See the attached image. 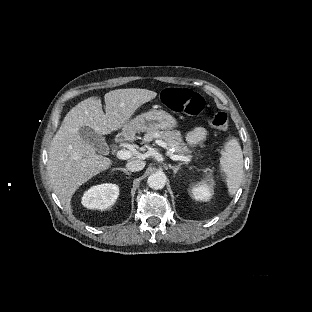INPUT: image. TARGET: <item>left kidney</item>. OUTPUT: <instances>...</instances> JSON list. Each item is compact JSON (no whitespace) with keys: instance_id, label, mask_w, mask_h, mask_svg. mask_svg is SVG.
Wrapping results in <instances>:
<instances>
[{"instance_id":"5707ae66","label":"left kidney","mask_w":312,"mask_h":312,"mask_svg":"<svg viewBox=\"0 0 312 312\" xmlns=\"http://www.w3.org/2000/svg\"><path fill=\"white\" fill-rule=\"evenodd\" d=\"M191 195L197 201H209L213 195L212 186L202 182L191 188Z\"/></svg>"}]
</instances>
